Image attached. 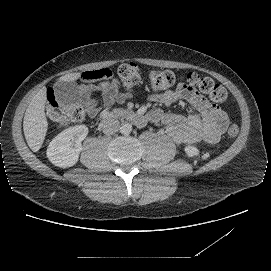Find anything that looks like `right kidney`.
I'll list each match as a JSON object with an SVG mask.
<instances>
[{
	"mask_svg": "<svg viewBox=\"0 0 271 271\" xmlns=\"http://www.w3.org/2000/svg\"><path fill=\"white\" fill-rule=\"evenodd\" d=\"M85 125L69 127L59 133L47 148L48 159L56 166L67 168L77 163L81 152V142L86 138Z\"/></svg>",
	"mask_w": 271,
	"mask_h": 271,
	"instance_id": "right-kidney-1",
	"label": "right kidney"
}]
</instances>
